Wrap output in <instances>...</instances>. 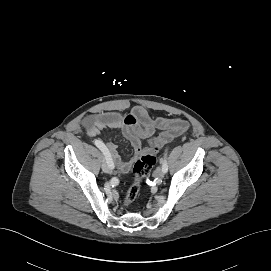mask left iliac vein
I'll return each instance as SVG.
<instances>
[{
	"mask_svg": "<svg viewBox=\"0 0 271 271\" xmlns=\"http://www.w3.org/2000/svg\"><path fill=\"white\" fill-rule=\"evenodd\" d=\"M155 177L162 179L164 177V172L162 168L158 167L155 171Z\"/></svg>",
	"mask_w": 271,
	"mask_h": 271,
	"instance_id": "obj_1",
	"label": "left iliac vein"
}]
</instances>
